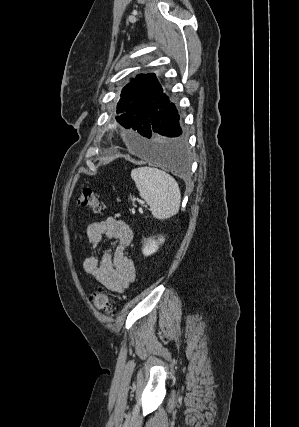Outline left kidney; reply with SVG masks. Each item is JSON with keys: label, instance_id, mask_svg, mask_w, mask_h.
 <instances>
[{"label": "left kidney", "instance_id": "obj_1", "mask_svg": "<svg viewBox=\"0 0 299 427\" xmlns=\"http://www.w3.org/2000/svg\"><path fill=\"white\" fill-rule=\"evenodd\" d=\"M164 241L165 239L163 237L158 238V240H154L151 238L147 239L142 249V253L144 254V256L152 255L158 250L159 245L164 243Z\"/></svg>", "mask_w": 299, "mask_h": 427}]
</instances>
